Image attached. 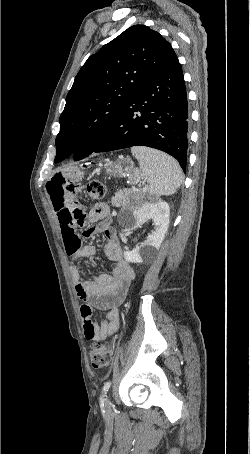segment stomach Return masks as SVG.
<instances>
[{
  "label": "stomach",
  "mask_w": 250,
  "mask_h": 454,
  "mask_svg": "<svg viewBox=\"0 0 250 454\" xmlns=\"http://www.w3.org/2000/svg\"><path fill=\"white\" fill-rule=\"evenodd\" d=\"M106 172L114 176L127 177L130 184L140 181L142 174L134 168L133 162L129 158H119L105 165Z\"/></svg>",
  "instance_id": "0dacf381"
}]
</instances>
